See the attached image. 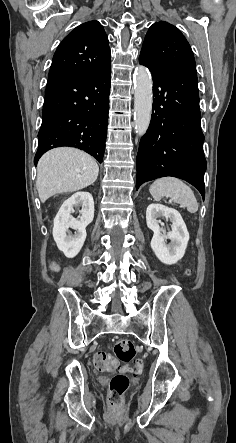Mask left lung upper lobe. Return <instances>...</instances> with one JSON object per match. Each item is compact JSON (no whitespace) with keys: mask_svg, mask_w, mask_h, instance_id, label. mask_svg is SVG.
<instances>
[{"mask_svg":"<svg viewBox=\"0 0 236 443\" xmlns=\"http://www.w3.org/2000/svg\"><path fill=\"white\" fill-rule=\"evenodd\" d=\"M140 58L150 66H196L192 49L183 34L165 21L156 22L149 28Z\"/></svg>","mask_w":236,"mask_h":443,"instance_id":"1","label":"left lung upper lobe"}]
</instances>
